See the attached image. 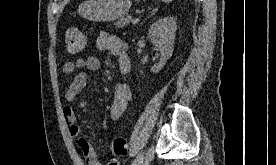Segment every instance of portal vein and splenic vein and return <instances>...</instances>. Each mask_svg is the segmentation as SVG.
I'll return each mask as SVG.
<instances>
[{
    "mask_svg": "<svg viewBox=\"0 0 276 165\" xmlns=\"http://www.w3.org/2000/svg\"><path fill=\"white\" fill-rule=\"evenodd\" d=\"M131 22H132L133 24H136V23L139 22V18H134V19L131 20Z\"/></svg>",
    "mask_w": 276,
    "mask_h": 165,
    "instance_id": "18ae733b",
    "label": "portal vein and splenic vein"
}]
</instances>
